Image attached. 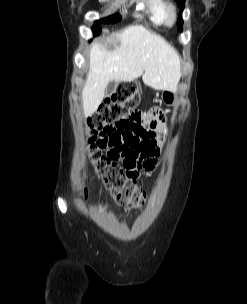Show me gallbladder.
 <instances>
[{"instance_id": "1", "label": "gallbladder", "mask_w": 247, "mask_h": 304, "mask_svg": "<svg viewBox=\"0 0 247 304\" xmlns=\"http://www.w3.org/2000/svg\"><path fill=\"white\" fill-rule=\"evenodd\" d=\"M117 83L115 81H110L105 89V95L110 96L116 90Z\"/></svg>"}]
</instances>
